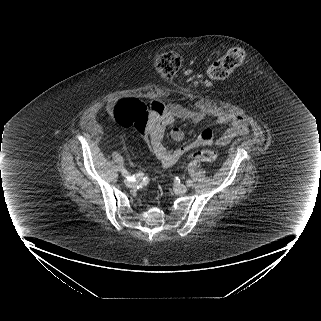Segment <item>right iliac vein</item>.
Wrapping results in <instances>:
<instances>
[{"mask_svg": "<svg viewBox=\"0 0 321 321\" xmlns=\"http://www.w3.org/2000/svg\"><path fill=\"white\" fill-rule=\"evenodd\" d=\"M125 184H126L127 186H131V185L134 184V181H133V180H128V179H126V180H125Z\"/></svg>", "mask_w": 321, "mask_h": 321, "instance_id": "obj_1", "label": "right iliac vein"}]
</instances>
